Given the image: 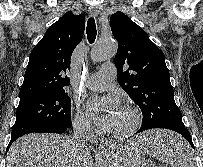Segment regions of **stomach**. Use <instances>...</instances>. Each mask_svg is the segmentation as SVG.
I'll list each match as a JSON object with an SVG mask.
<instances>
[{"instance_id":"obj_1","label":"stomach","mask_w":203,"mask_h":167,"mask_svg":"<svg viewBox=\"0 0 203 167\" xmlns=\"http://www.w3.org/2000/svg\"><path fill=\"white\" fill-rule=\"evenodd\" d=\"M151 133L153 132L147 133L143 137H139L133 142L128 143L125 148H114L111 153L113 167H150L147 161L141 157L140 152H142L143 143ZM136 141H141L142 144L139 147H135L134 143Z\"/></svg>"}]
</instances>
